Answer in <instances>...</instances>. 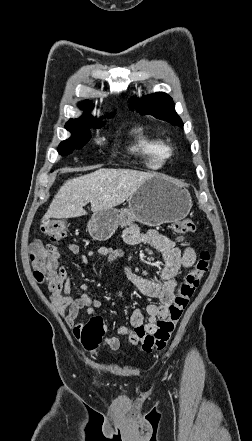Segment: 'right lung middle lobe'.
<instances>
[{
    "label": "right lung middle lobe",
    "instance_id": "dd1d6c3e",
    "mask_svg": "<svg viewBox=\"0 0 252 441\" xmlns=\"http://www.w3.org/2000/svg\"><path fill=\"white\" fill-rule=\"evenodd\" d=\"M104 123H82L77 121H68L65 128L72 133V136L61 142L58 147V152L61 155H68L73 150L83 147L91 138L89 128H99L103 126Z\"/></svg>",
    "mask_w": 252,
    "mask_h": 441
}]
</instances>
